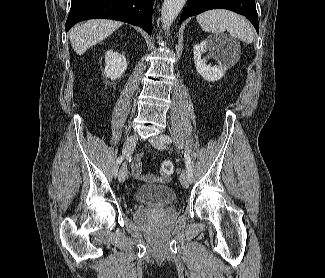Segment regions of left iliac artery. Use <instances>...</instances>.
<instances>
[{
    "mask_svg": "<svg viewBox=\"0 0 325 278\" xmlns=\"http://www.w3.org/2000/svg\"><path fill=\"white\" fill-rule=\"evenodd\" d=\"M160 140L164 143H171L172 140L170 138V136L167 135H161L160 136ZM185 157V163H186V173L188 175L189 178V182H192V170H191V166H190V159H189V155L187 153L184 154Z\"/></svg>",
    "mask_w": 325,
    "mask_h": 278,
    "instance_id": "44dca946",
    "label": "left iliac artery"
}]
</instances>
